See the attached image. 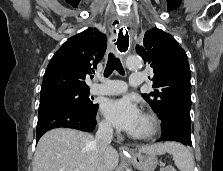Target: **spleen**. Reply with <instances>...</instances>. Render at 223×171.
Wrapping results in <instances>:
<instances>
[{
    "label": "spleen",
    "mask_w": 223,
    "mask_h": 171,
    "mask_svg": "<svg viewBox=\"0 0 223 171\" xmlns=\"http://www.w3.org/2000/svg\"><path fill=\"white\" fill-rule=\"evenodd\" d=\"M170 152L179 171H194V159L186 147L178 143H171Z\"/></svg>",
    "instance_id": "obj_1"
}]
</instances>
